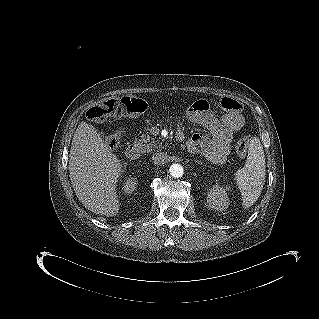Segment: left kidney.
Segmentation results:
<instances>
[{
  "mask_svg": "<svg viewBox=\"0 0 319 319\" xmlns=\"http://www.w3.org/2000/svg\"><path fill=\"white\" fill-rule=\"evenodd\" d=\"M226 190L227 188L225 189L219 185L211 188L207 197V203L210 208L216 211H223L228 208L230 202Z\"/></svg>",
  "mask_w": 319,
  "mask_h": 319,
  "instance_id": "1",
  "label": "left kidney"
}]
</instances>
